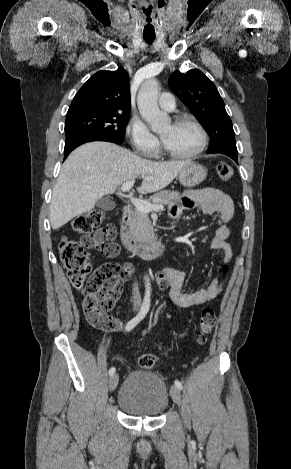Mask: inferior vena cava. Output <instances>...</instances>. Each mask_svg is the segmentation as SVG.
<instances>
[{
    "instance_id": "inferior-vena-cava-1",
    "label": "inferior vena cava",
    "mask_w": 291,
    "mask_h": 469,
    "mask_svg": "<svg viewBox=\"0 0 291 469\" xmlns=\"http://www.w3.org/2000/svg\"><path fill=\"white\" fill-rule=\"evenodd\" d=\"M132 302L134 306H140L141 304V295L139 291V287L136 282L133 284V289H132Z\"/></svg>"
}]
</instances>
